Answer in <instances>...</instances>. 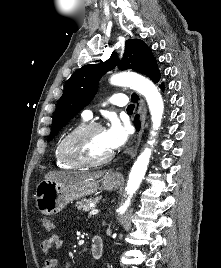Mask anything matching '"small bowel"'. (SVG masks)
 Masks as SVG:
<instances>
[{
	"label": "small bowel",
	"mask_w": 221,
	"mask_h": 268,
	"mask_svg": "<svg viewBox=\"0 0 221 268\" xmlns=\"http://www.w3.org/2000/svg\"><path fill=\"white\" fill-rule=\"evenodd\" d=\"M63 246L62 237L54 230L48 232V235L41 241L40 248L45 255L53 250L60 249ZM58 260L56 258L47 257L42 262L41 268H58Z\"/></svg>",
	"instance_id": "1"
}]
</instances>
